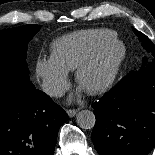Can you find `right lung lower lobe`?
I'll list each match as a JSON object with an SVG mask.
<instances>
[{
	"label": "right lung lower lobe",
	"instance_id": "98d812e1",
	"mask_svg": "<svg viewBox=\"0 0 155 155\" xmlns=\"http://www.w3.org/2000/svg\"><path fill=\"white\" fill-rule=\"evenodd\" d=\"M66 112L34 85L26 97L0 90V155H53Z\"/></svg>",
	"mask_w": 155,
	"mask_h": 155
}]
</instances>
